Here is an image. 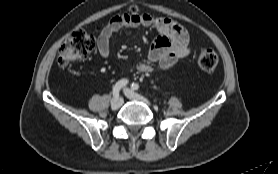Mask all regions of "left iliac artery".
Listing matches in <instances>:
<instances>
[{
    "label": "left iliac artery",
    "mask_w": 278,
    "mask_h": 174,
    "mask_svg": "<svg viewBox=\"0 0 278 174\" xmlns=\"http://www.w3.org/2000/svg\"><path fill=\"white\" fill-rule=\"evenodd\" d=\"M131 88L133 90H138L139 89V85L137 83H132Z\"/></svg>",
    "instance_id": "44dca946"
}]
</instances>
